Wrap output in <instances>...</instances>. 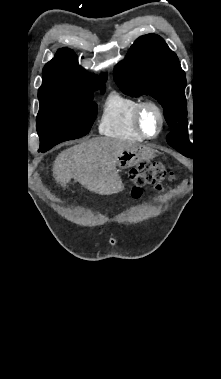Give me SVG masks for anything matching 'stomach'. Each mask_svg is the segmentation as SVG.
<instances>
[{"instance_id": "0dacf381", "label": "stomach", "mask_w": 221, "mask_h": 379, "mask_svg": "<svg viewBox=\"0 0 221 379\" xmlns=\"http://www.w3.org/2000/svg\"><path fill=\"white\" fill-rule=\"evenodd\" d=\"M155 156V151L142 145H135L125 149L117 159L119 170L127 169L137 165L142 161L151 160Z\"/></svg>"}]
</instances>
